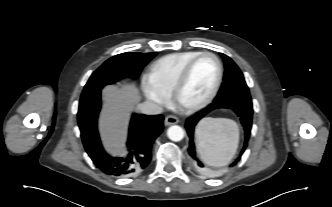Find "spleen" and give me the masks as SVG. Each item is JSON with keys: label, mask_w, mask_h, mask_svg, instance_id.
Returning <instances> with one entry per match:
<instances>
[{"label": "spleen", "mask_w": 332, "mask_h": 207, "mask_svg": "<svg viewBox=\"0 0 332 207\" xmlns=\"http://www.w3.org/2000/svg\"><path fill=\"white\" fill-rule=\"evenodd\" d=\"M197 151L210 166L227 165L234 157L239 143L235 121L226 118H205L196 128Z\"/></svg>", "instance_id": "1"}]
</instances>
